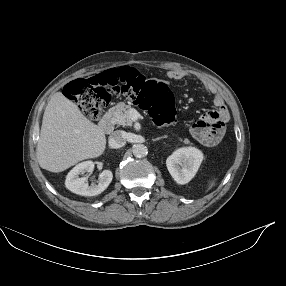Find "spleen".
Here are the masks:
<instances>
[{"instance_id": "1", "label": "spleen", "mask_w": 286, "mask_h": 286, "mask_svg": "<svg viewBox=\"0 0 286 286\" xmlns=\"http://www.w3.org/2000/svg\"><path fill=\"white\" fill-rule=\"evenodd\" d=\"M215 185L214 181H209L208 187H207V191L210 190L213 186Z\"/></svg>"}]
</instances>
